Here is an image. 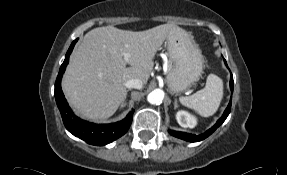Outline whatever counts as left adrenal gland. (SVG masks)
<instances>
[{
	"instance_id": "1",
	"label": "left adrenal gland",
	"mask_w": 287,
	"mask_h": 175,
	"mask_svg": "<svg viewBox=\"0 0 287 175\" xmlns=\"http://www.w3.org/2000/svg\"><path fill=\"white\" fill-rule=\"evenodd\" d=\"M178 107V100H177V98H175V100H174V108H177Z\"/></svg>"
}]
</instances>
